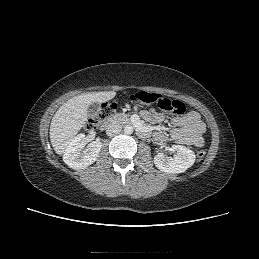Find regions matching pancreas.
<instances>
[{
    "mask_svg": "<svg viewBox=\"0 0 259 259\" xmlns=\"http://www.w3.org/2000/svg\"><path fill=\"white\" fill-rule=\"evenodd\" d=\"M114 119L121 123H127L129 121V115L125 113H117Z\"/></svg>",
    "mask_w": 259,
    "mask_h": 259,
    "instance_id": "cf45deb5",
    "label": "pancreas"
}]
</instances>
